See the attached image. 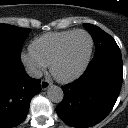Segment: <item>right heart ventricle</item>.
<instances>
[{
  "instance_id": "e07e8e85",
  "label": "right heart ventricle",
  "mask_w": 128,
  "mask_h": 128,
  "mask_svg": "<svg viewBox=\"0 0 128 128\" xmlns=\"http://www.w3.org/2000/svg\"><path fill=\"white\" fill-rule=\"evenodd\" d=\"M74 30L50 32L35 38L30 44V51L46 66H49L61 43Z\"/></svg>"
}]
</instances>
